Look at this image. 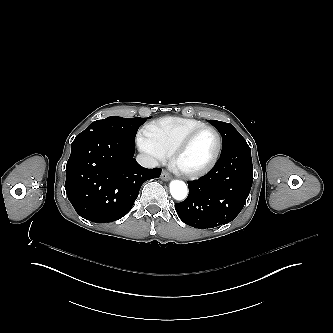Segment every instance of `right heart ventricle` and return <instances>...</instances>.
Listing matches in <instances>:
<instances>
[{
  "label": "right heart ventricle",
  "instance_id": "obj_1",
  "mask_svg": "<svg viewBox=\"0 0 333 333\" xmlns=\"http://www.w3.org/2000/svg\"><path fill=\"white\" fill-rule=\"evenodd\" d=\"M203 125H205L203 121L191 118L168 117L160 119L145 124L141 128L138 142L162 157H167L186 133Z\"/></svg>",
  "mask_w": 333,
  "mask_h": 333
}]
</instances>
